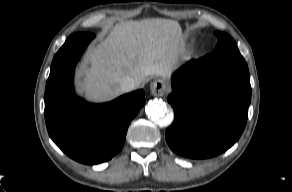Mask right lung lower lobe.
Instances as JSON below:
<instances>
[{
  "label": "right lung lower lobe",
  "mask_w": 292,
  "mask_h": 192,
  "mask_svg": "<svg viewBox=\"0 0 292 192\" xmlns=\"http://www.w3.org/2000/svg\"><path fill=\"white\" fill-rule=\"evenodd\" d=\"M75 33L56 53L45 89V121L55 144L83 164L110 160L123 147L128 126L145 103L144 91L105 104H90L74 92L75 66L94 38Z\"/></svg>",
  "instance_id": "obj_1"
}]
</instances>
